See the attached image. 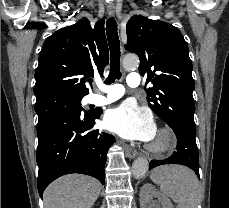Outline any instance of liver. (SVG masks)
I'll return each instance as SVG.
<instances>
[{
	"instance_id": "1",
	"label": "liver",
	"mask_w": 229,
	"mask_h": 208,
	"mask_svg": "<svg viewBox=\"0 0 229 208\" xmlns=\"http://www.w3.org/2000/svg\"><path fill=\"white\" fill-rule=\"evenodd\" d=\"M100 192L98 180L69 174L46 188L43 194L44 208H92Z\"/></svg>"
}]
</instances>
